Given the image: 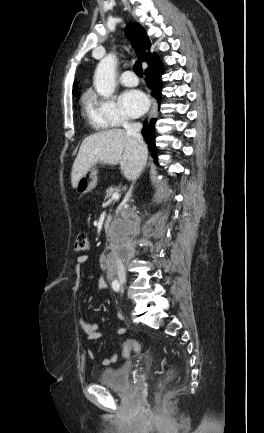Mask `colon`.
<instances>
[{
  "mask_svg": "<svg viewBox=\"0 0 264 433\" xmlns=\"http://www.w3.org/2000/svg\"><path fill=\"white\" fill-rule=\"evenodd\" d=\"M90 239L84 232L78 233L74 243V251L76 253L84 254L90 250ZM141 351L140 343L135 340H129L123 345V356L129 357L132 353H139Z\"/></svg>",
  "mask_w": 264,
  "mask_h": 433,
  "instance_id": "5ec220e1",
  "label": "colon"
}]
</instances>
